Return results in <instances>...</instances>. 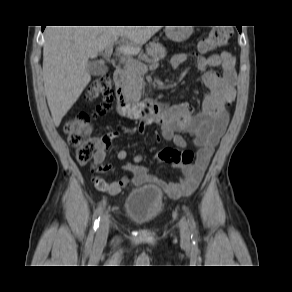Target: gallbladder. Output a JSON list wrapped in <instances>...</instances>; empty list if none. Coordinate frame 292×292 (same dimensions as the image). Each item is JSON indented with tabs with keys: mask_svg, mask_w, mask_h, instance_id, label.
<instances>
[{
	"mask_svg": "<svg viewBox=\"0 0 292 292\" xmlns=\"http://www.w3.org/2000/svg\"><path fill=\"white\" fill-rule=\"evenodd\" d=\"M87 70L91 75L99 76V75L105 74L107 71V68L105 65L99 62H90L87 64Z\"/></svg>",
	"mask_w": 292,
	"mask_h": 292,
	"instance_id": "1",
	"label": "gallbladder"
}]
</instances>
